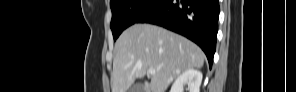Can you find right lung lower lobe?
Returning <instances> with one entry per match:
<instances>
[{"label": "right lung lower lobe", "instance_id": "1", "mask_svg": "<svg viewBox=\"0 0 296 92\" xmlns=\"http://www.w3.org/2000/svg\"><path fill=\"white\" fill-rule=\"evenodd\" d=\"M218 18V0H159L136 23L159 25L187 37L202 48L211 67Z\"/></svg>", "mask_w": 296, "mask_h": 92}]
</instances>
